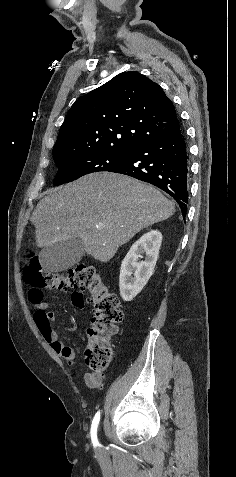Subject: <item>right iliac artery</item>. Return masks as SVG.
<instances>
[{
	"label": "right iliac artery",
	"mask_w": 236,
	"mask_h": 477,
	"mask_svg": "<svg viewBox=\"0 0 236 477\" xmlns=\"http://www.w3.org/2000/svg\"><path fill=\"white\" fill-rule=\"evenodd\" d=\"M99 421H100V411H98L95 414V416L93 418V421H92V425H91V439H92V443H93L94 446L99 445V442H98V439H97V427H98Z\"/></svg>",
	"instance_id": "1"
}]
</instances>
